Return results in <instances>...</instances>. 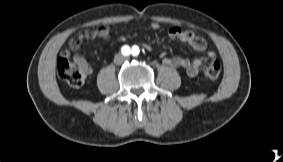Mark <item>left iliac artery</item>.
Wrapping results in <instances>:
<instances>
[{"label": "left iliac artery", "instance_id": "obj_1", "mask_svg": "<svg viewBox=\"0 0 283 162\" xmlns=\"http://www.w3.org/2000/svg\"><path fill=\"white\" fill-rule=\"evenodd\" d=\"M132 54L134 56L138 55L139 54V48L137 46H133L132 47Z\"/></svg>", "mask_w": 283, "mask_h": 162}]
</instances>
